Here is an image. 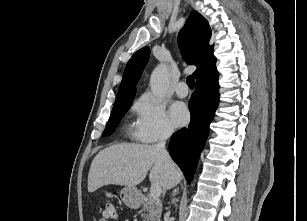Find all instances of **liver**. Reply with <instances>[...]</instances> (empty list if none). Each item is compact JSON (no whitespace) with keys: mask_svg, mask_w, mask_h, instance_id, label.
<instances>
[{"mask_svg":"<svg viewBox=\"0 0 307 221\" xmlns=\"http://www.w3.org/2000/svg\"><path fill=\"white\" fill-rule=\"evenodd\" d=\"M149 170V180L165 190L181 180L179 168L174 162L169 166L156 145L123 143L109 146L91 163L88 191L92 193L108 184L135 187L145 179Z\"/></svg>","mask_w":307,"mask_h":221,"instance_id":"6515ba94","label":"liver"}]
</instances>
